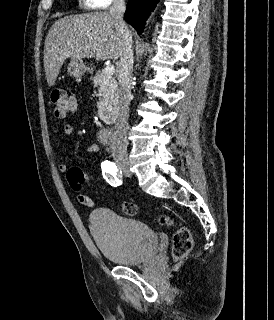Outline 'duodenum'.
Here are the masks:
<instances>
[{"label":"duodenum","instance_id":"duodenum-1","mask_svg":"<svg viewBox=\"0 0 274 320\" xmlns=\"http://www.w3.org/2000/svg\"><path fill=\"white\" fill-rule=\"evenodd\" d=\"M98 116L102 122L113 123L116 121L118 117V111L115 108H111V109L102 108L99 111Z\"/></svg>","mask_w":274,"mask_h":320}]
</instances>
